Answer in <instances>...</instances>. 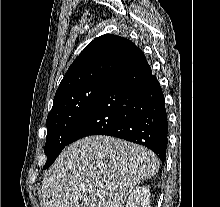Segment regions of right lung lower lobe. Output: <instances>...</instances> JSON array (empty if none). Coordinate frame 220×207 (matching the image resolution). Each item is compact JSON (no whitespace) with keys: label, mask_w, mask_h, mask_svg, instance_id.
Wrapping results in <instances>:
<instances>
[{"label":"right lung lower lobe","mask_w":220,"mask_h":207,"mask_svg":"<svg viewBox=\"0 0 220 207\" xmlns=\"http://www.w3.org/2000/svg\"><path fill=\"white\" fill-rule=\"evenodd\" d=\"M167 124L161 86L144 58L107 79L69 144L90 135H109L144 145L164 162Z\"/></svg>","instance_id":"right-lung-lower-lobe-1"}]
</instances>
